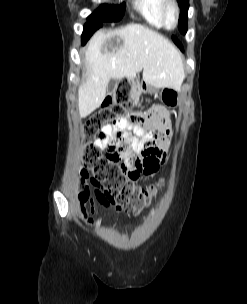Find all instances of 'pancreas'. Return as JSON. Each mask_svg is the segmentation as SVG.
<instances>
[{
    "instance_id": "cf45deb5",
    "label": "pancreas",
    "mask_w": 247,
    "mask_h": 304,
    "mask_svg": "<svg viewBox=\"0 0 247 304\" xmlns=\"http://www.w3.org/2000/svg\"><path fill=\"white\" fill-rule=\"evenodd\" d=\"M142 91H143L142 89H132L130 92V97L134 100L136 104L138 103V99Z\"/></svg>"
}]
</instances>
